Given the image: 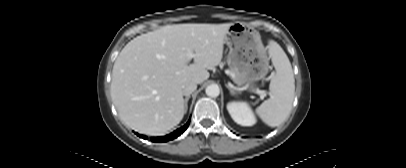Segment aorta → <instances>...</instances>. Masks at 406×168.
<instances>
[{
    "instance_id": "762f6f07",
    "label": "aorta",
    "mask_w": 406,
    "mask_h": 168,
    "mask_svg": "<svg viewBox=\"0 0 406 168\" xmlns=\"http://www.w3.org/2000/svg\"><path fill=\"white\" fill-rule=\"evenodd\" d=\"M206 94L209 97H217V96H219L220 89H219L218 85L212 84V85L207 86Z\"/></svg>"
}]
</instances>
